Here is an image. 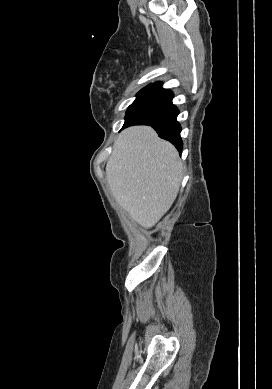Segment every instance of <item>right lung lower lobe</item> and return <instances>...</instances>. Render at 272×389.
<instances>
[{"mask_svg": "<svg viewBox=\"0 0 272 389\" xmlns=\"http://www.w3.org/2000/svg\"><path fill=\"white\" fill-rule=\"evenodd\" d=\"M172 98L173 93L170 90L161 88L125 117L122 129L132 125H150L160 138L170 141L181 154L183 147L181 127L176 120L179 111L172 104Z\"/></svg>", "mask_w": 272, "mask_h": 389, "instance_id": "obj_1", "label": "right lung lower lobe"}]
</instances>
